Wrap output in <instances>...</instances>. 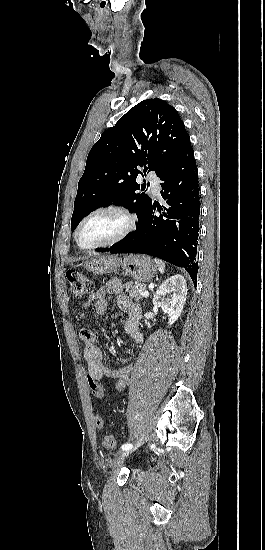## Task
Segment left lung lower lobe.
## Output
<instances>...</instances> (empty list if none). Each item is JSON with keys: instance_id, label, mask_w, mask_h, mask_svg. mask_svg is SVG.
Listing matches in <instances>:
<instances>
[{"instance_id": "left-lung-lower-lobe-1", "label": "left lung lower lobe", "mask_w": 265, "mask_h": 550, "mask_svg": "<svg viewBox=\"0 0 265 550\" xmlns=\"http://www.w3.org/2000/svg\"><path fill=\"white\" fill-rule=\"evenodd\" d=\"M167 207H149L136 231L124 241L99 252L144 253L184 268L197 281L196 252L199 235V184L194 152L189 143L159 177ZM163 212L155 215V210Z\"/></svg>"}]
</instances>
